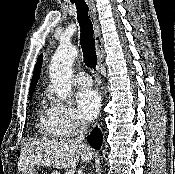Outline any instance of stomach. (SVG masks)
Returning <instances> with one entry per match:
<instances>
[{
    "label": "stomach",
    "mask_w": 175,
    "mask_h": 174,
    "mask_svg": "<svg viewBox=\"0 0 175 174\" xmlns=\"http://www.w3.org/2000/svg\"><path fill=\"white\" fill-rule=\"evenodd\" d=\"M54 174H60L58 171H53ZM22 174H38L34 168L26 169Z\"/></svg>",
    "instance_id": "1"
}]
</instances>
